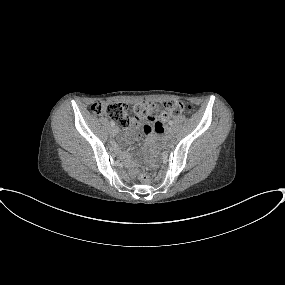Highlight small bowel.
Wrapping results in <instances>:
<instances>
[{
	"instance_id": "c3829d8e",
	"label": "small bowel",
	"mask_w": 285,
	"mask_h": 285,
	"mask_svg": "<svg viewBox=\"0 0 285 285\" xmlns=\"http://www.w3.org/2000/svg\"><path fill=\"white\" fill-rule=\"evenodd\" d=\"M149 121H153V124H149V123H144L143 124V131L145 132V134L148 136V137H152L154 135V132H157L160 127H161V123L158 122V121H154V120H151L149 119ZM141 125V121L135 117H133L131 119V122H130V127L128 129V133L133 135L134 138L138 139L140 137V134L137 133V130L138 128L140 127Z\"/></svg>"
}]
</instances>
